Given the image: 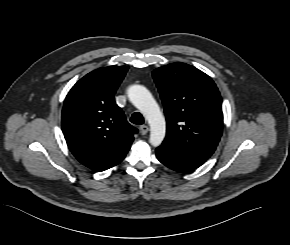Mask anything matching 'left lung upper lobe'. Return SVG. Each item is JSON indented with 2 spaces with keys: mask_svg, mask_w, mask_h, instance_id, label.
I'll return each mask as SVG.
<instances>
[{
  "mask_svg": "<svg viewBox=\"0 0 290 245\" xmlns=\"http://www.w3.org/2000/svg\"><path fill=\"white\" fill-rule=\"evenodd\" d=\"M167 121L162 145L183 155L206 161L222 135V99L213 80L185 63H172L153 71Z\"/></svg>",
  "mask_w": 290,
  "mask_h": 245,
  "instance_id": "1",
  "label": "left lung upper lobe"
}]
</instances>
